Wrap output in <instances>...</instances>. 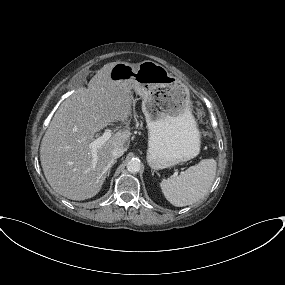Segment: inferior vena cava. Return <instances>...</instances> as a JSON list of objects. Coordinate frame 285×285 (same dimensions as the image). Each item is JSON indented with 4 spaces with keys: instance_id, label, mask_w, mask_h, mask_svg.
Listing matches in <instances>:
<instances>
[{
    "instance_id": "inferior-vena-cava-1",
    "label": "inferior vena cava",
    "mask_w": 285,
    "mask_h": 285,
    "mask_svg": "<svg viewBox=\"0 0 285 285\" xmlns=\"http://www.w3.org/2000/svg\"><path fill=\"white\" fill-rule=\"evenodd\" d=\"M125 150L123 147H115L113 152H112V156L114 159L121 157L124 154Z\"/></svg>"
}]
</instances>
